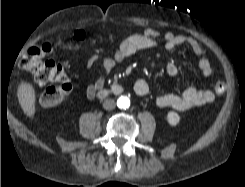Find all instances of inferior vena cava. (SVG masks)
Masks as SVG:
<instances>
[{"label": "inferior vena cava", "instance_id": "inferior-vena-cava-1", "mask_svg": "<svg viewBox=\"0 0 245 187\" xmlns=\"http://www.w3.org/2000/svg\"><path fill=\"white\" fill-rule=\"evenodd\" d=\"M115 106H116V104H115V101L113 99H106L103 102V108L105 110H112L115 108Z\"/></svg>", "mask_w": 245, "mask_h": 187}]
</instances>
